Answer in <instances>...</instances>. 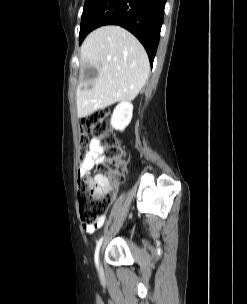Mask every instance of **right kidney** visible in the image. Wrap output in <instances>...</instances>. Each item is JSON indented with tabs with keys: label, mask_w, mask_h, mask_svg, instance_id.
<instances>
[{
	"label": "right kidney",
	"mask_w": 247,
	"mask_h": 304,
	"mask_svg": "<svg viewBox=\"0 0 247 304\" xmlns=\"http://www.w3.org/2000/svg\"><path fill=\"white\" fill-rule=\"evenodd\" d=\"M133 115V105L130 102H121L118 104L111 117V126L123 131L130 123Z\"/></svg>",
	"instance_id": "obj_1"
}]
</instances>
